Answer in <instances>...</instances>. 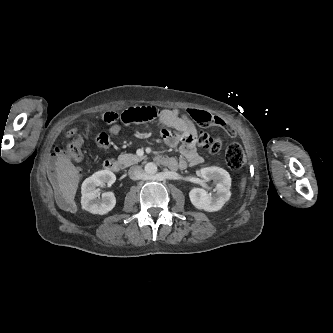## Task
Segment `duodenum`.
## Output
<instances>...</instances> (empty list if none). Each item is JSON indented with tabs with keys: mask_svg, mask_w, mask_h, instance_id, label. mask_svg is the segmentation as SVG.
I'll use <instances>...</instances> for the list:
<instances>
[{
	"mask_svg": "<svg viewBox=\"0 0 333 333\" xmlns=\"http://www.w3.org/2000/svg\"><path fill=\"white\" fill-rule=\"evenodd\" d=\"M104 168L111 172L120 171L121 165L116 159H107L104 162Z\"/></svg>",
	"mask_w": 333,
	"mask_h": 333,
	"instance_id": "obj_1",
	"label": "duodenum"
}]
</instances>
